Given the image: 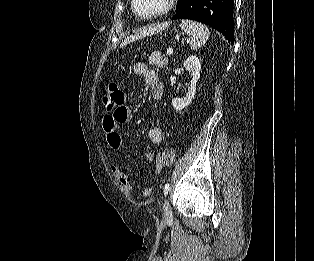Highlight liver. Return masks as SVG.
<instances>
[{"label":"liver","mask_w":314,"mask_h":261,"mask_svg":"<svg viewBox=\"0 0 314 261\" xmlns=\"http://www.w3.org/2000/svg\"><path fill=\"white\" fill-rule=\"evenodd\" d=\"M146 34H147V32L144 31V32H141L140 34H137V35H135V36H130V37H128L127 39H125L124 42H122V44L120 45V47H124V46H126L127 44H129L130 42L135 41V40H137V39H139V38H142V37H144Z\"/></svg>","instance_id":"obj_1"}]
</instances>
